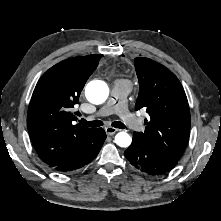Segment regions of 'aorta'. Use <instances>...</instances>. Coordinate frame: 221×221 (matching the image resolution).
<instances>
[{
  "label": "aorta",
  "mask_w": 221,
  "mask_h": 221,
  "mask_svg": "<svg viewBox=\"0 0 221 221\" xmlns=\"http://www.w3.org/2000/svg\"><path fill=\"white\" fill-rule=\"evenodd\" d=\"M85 95L89 102L96 105L102 104L109 96V88L103 81H91L86 86ZM131 142L132 138L126 132H119L115 136V143L120 147H128Z\"/></svg>",
  "instance_id": "obj_1"
}]
</instances>
